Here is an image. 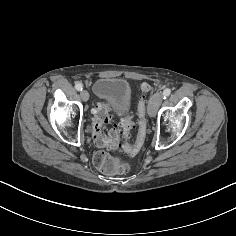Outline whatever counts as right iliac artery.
I'll list each match as a JSON object with an SVG mask.
<instances>
[{
	"label": "right iliac artery",
	"instance_id": "82829eb1",
	"mask_svg": "<svg viewBox=\"0 0 236 236\" xmlns=\"http://www.w3.org/2000/svg\"><path fill=\"white\" fill-rule=\"evenodd\" d=\"M75 88H76L77 91H82L83 86H82V84L78 83V84L75 85Z\"/></svg>",
	"mask_w": 236,
	"mask_h": 236
}]
</instances>
